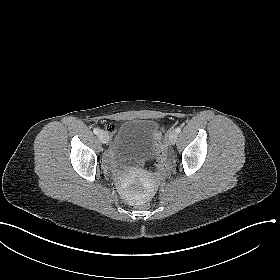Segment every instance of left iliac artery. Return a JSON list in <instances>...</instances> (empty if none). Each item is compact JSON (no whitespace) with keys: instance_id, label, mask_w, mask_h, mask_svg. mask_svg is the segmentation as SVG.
I'll use <instances>...</instances> for the list:
<instances>
[{"instance_id":"44dca946","label":"left iliac artery","mask_w":280,"mask_h":280,"mask_svg":"<svg viewBox=\"0 0 280 280\" xmlns=\"http://www.w3.org/2000/svg\"><path fill=\"white\" fill-rule=\"evenodd\" d=\"M175 131H176L177 133H180L181 128H180V127H177V128L175 129Z\"/></svg>"}]
</instances>
